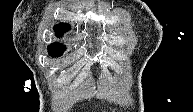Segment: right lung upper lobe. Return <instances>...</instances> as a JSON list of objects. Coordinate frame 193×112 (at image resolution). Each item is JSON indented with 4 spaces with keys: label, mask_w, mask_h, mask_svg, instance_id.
Listing matches in <instances>:
<instances>
[{
    "label": "right lung upper lobe",
    "mask_w": 193,
    "mask_h": 112,
    "mask_svg": "<svg viewBox=\"0 0 193 112\" xmlns=\"http://www.w3.org/2000/svg\"><path fill=\"white\" fill-rule=\"evenodd\" d=\"M69 29L67 24L60 23L59 25L54 26V31L57 36L63 35Z\"/></svg>",
    "instance_id": "right-lung-upper-lobe-1"
}]
</instances>
